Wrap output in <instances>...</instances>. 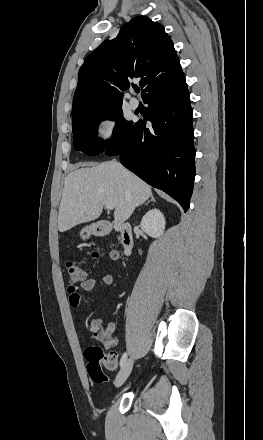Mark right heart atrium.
<instances>
[{"label":"right heart atrium","instance_id":"d8ad5b80","mask_svg":"<svg viewBox=\"0 0 263 440\" xmlns=\"http://www.w3.org/2000/svg\"><path fill=\"white\" fill-rule=\"evenodd\" d=\"M117 132V120L112 115L100 117L96 123V134L102 142H110Z\"/></svg>","mask_w":263,"mask_h":440}]
</instances>
